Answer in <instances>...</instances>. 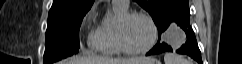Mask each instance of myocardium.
Wrapping results in <instances>:
<instances>
[{
	"instance_id": "f54148a6",
	"label": "myocardium",
	"mask_w": 242,
	"mask_h": 64,
	"mask_svg": "<svg viewBox=\"0 0 242 64\" xmlns=\"http://www.w3.org/2000/svg\"><path fill=\"white\" fill-rule=\"evenodd\" d=\"M135 17H140V18L145 19L149 23V25L151 27V31H152L150 41L148 42V44L145 47L140 48V49L130 48L126 44L125 38H124V27H125V24L130 19L135 18ZM157 36H158V29H157L155 21L153 20V18L150 15H148V14H146L144 12H139V11L126 12L118 20V24H117V42H118V45H119V48L121 49V51L126 53V54H129V55H141V54L147 53L155 45L156 40H157Z\"/></svg>"
}]
</instances>
